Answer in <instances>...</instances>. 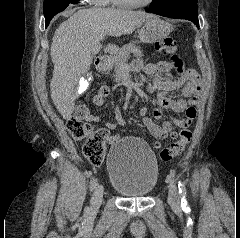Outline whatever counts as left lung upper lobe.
<instances>
[{
    "label": "left lung upper lobe",
    "instance_id": "1",
    "mask_svg": "<svg viewBox=\"0 0 240 238\" xmlns=\"http://www.w3.org/2000/svg\"><path fill=\"white\" fill-rule=\"evenodd\" d=\"M176 2H188V3L197 4V0H153L152 3L150 4V7L156 8L169 3H176Z\"/></svg>",
    "mask_w": 240,
    "mask_h": 238
}]
</instances>
